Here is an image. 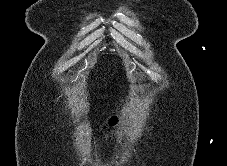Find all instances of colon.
I'll list each match as a JSON object with an SVG mask.
<instances>
[{
  "label": "colon",
  "instance_id": "1",
  "mask_svg": "<svg viewBox=\"0 0 227 166\" xmlns=\"http://www.w3.org/2000/svg\"><path fill=\"white\" fill-rule=\"evenodd\" d=\"M117 123V119L116 118H111L108 123H107V128H111L113 126H115Z\"/></svg>",
  "mask_w": 227,
  "mask_h": 166
}]
</instances>
